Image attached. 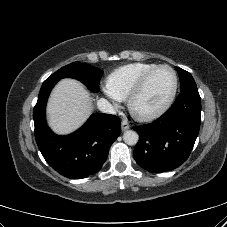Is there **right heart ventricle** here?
<instances>
[{"instance_id": "1", "label": "right heart ventricle", "mask_w": 227, "mask_h": 227, "mask_svg": "<svg viewBox=\"0 0 227 227\" xmlns=\"http://www.w3.org/2000/svg\"><path fill=\"white\" fill-rule=\"evenodd\" d=\"M157 65L146 62L123 65L109 74L106 86L119 100H126L139 79Z\"/></svg>"}]
</instances>
